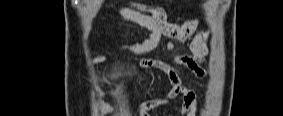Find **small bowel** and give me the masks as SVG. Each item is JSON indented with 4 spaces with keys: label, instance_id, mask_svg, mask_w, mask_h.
Wrapping results in <instances>:
<instances>
[{
    "label": "small bowel",
    "instance_id": "obj_1",
    "mask_svg": "<svg viewBox=\"0 0 283 116\" xmlns=\"http://www.w3.org/2000/svg\"><path fill=\"white\" fill-rule=\"evenodd\" d=\"M151 12L154 17L145 15L131 6H123L120 8L119 13L122 17L149 30V38L144 43L138 45H117V51L133 54L147 53L158 45L164 33H168L175 41L182 43L190 37L197 26V21L192 20L184 23V25L180 28L164 30L160 23V21H163L164 19L163 11L160 9H153ZM208 39V30L198 32L190 45L194 58L178 56L175 58V62L190 68L197 76L204 77L206 75V70L203 67L198 66L196 61L203 62L208 54ZM105 61V56H99L89 62V65L103 63ZM141 65L145 68H157L163 71L168 76L172 88L163 96V98L144 104L139 111L140 115H146L148 110L178 97H182V104L176 105L175 110L182 115L195 116L197 108L196 94L192 89L182 85L181 79L171 66L164 62L152 61L150 59L142 60ZM96 93L98 97L103 95L101 89H98Z\"/></svg>",
    "mask_w": 283,
    "mask_h": 116
}]
</instances>
